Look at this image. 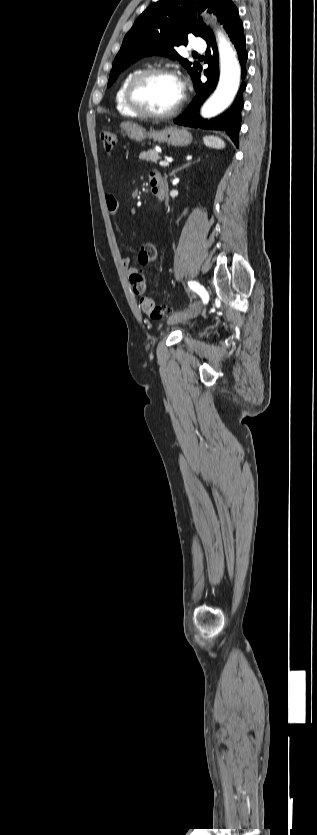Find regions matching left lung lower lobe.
I'll list each match as a JSON object with an SVG mask.
<instances>
[{
    "label": "left lung lower lobe",
    "mask_w": 317,
    "mask_h": 835,
    "mask_svg": "<svg viewBox=\"0 0 317 835\" xmlns=\"http://www.w3.org/2000/svg\"><path fill=\"white\" fill-rule=\"evenodd\" d=\"M223 12L227 14V21L224 24V28L237 50L238 59L242 69V78L244 79L246 76V60L248 54L245 49L243 23L239 18L238 9L231 0L228 1ZM206 42L208 44V48L206 51L205 63H208V68L204 71V75L207 77V82L202 83L200 81V73L198 71L192 76L196 95L187 111H185L179 118L175 119L174 122L176 124L195 128L225 130L238 147V134L241 126L240 112L243 107L242 93L246 88V84L244 82L241 84L239 93L237 94L234 103L225 113L210 120L202 119L197 114L201 104L215 89L219 78L218 51L214 35ZM197 70H201L200 65Z\"/></svg>",
    "instance_id": "1"
}]
</instances>
